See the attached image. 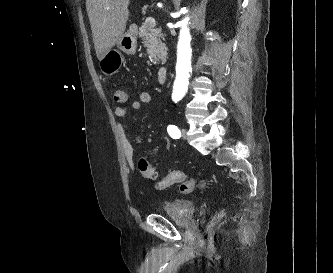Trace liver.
<instances>
[{
	"label": "liver",
	"mask_w": 333,
	"mask_h": 273,
	"mask_svg": "<svg viewBox=\"0 0 333 273\" xmlns=\"http://www.w3.org/2000/svg\"><path fill=\"white\" fill-rule=\"evenodd\" d=\"M130 0H86L97 58L102 60L126 29Z\"/></svg>",
	"instance_id": "obj_1"
}]
</instances>
